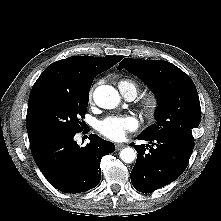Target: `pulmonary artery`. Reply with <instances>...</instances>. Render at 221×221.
<instances>
[{
    "mask_svg": "<svg viewBox=\"0 0 221 221\" xmlns=\"http://www.w3.org/2000/svg\"><path fill=\"white\" fill-rule=\"evenodd\" d=\"M124 96H125L128 100H132V99L135 97L134 94H125Z\"/></svg>",
    "mask_w": 221,
    "mask_h": 221,
    "instance_id": "obj_1",
    "label": "pulmonary artery"
}]
</instances>
